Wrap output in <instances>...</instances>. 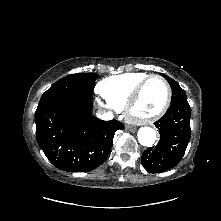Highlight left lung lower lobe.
<instances>
[{"mask_svg": "<svg viewBox=\"0 0 221 221\" xmlns=\"http://www.w3.org/2000/svg\"><path fill=\"white\" fill-rule=\"evenodd\" d=\"M191 110L188 102L173 103L154 124L160 140L156 147L142 154V165L150 173H160L175 167L182 159L190 140Z\"/></svg>", "mask_w": 221, "mask_h": 221, "instance_id": "0a47b994", "label": "left lung lower lobe"}]
</instances>
